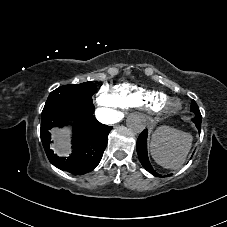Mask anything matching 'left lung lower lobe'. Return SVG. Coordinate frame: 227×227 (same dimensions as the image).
<instances>
[{"mask_svg": "<svg viewBox=\"0 0 227 227\" xmlns=\"http://www.w3.org/2000/svg\"><path fill=\"white\" fill-rule=\"evenodd\" d=\"M197 129L201 130V123L194 122ZM137 153L139 157V161L143 165V167L149 171L151 174L161 177L157 172L154 171L149 158H148V153H147V130H144L138 137L137 139Z\"/></svg>", "mask_w": 227, "mask_h": 227, "instance_id": "obj_1", "label": "left lung lower lobe"}]
</instances>
